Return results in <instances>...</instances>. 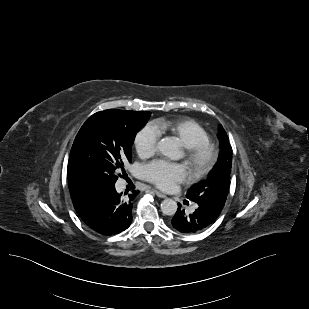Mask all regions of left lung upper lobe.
Masks as SVG:
<instances>
[{
    "label": "left lung upper lobe",
    "instance_id": "1",
    "mask_svg": "<svg viewBox=\"0 0 309 309\" xmlns=\"http://www.w3.org/2000/svg\"><path fill=\"white\" fill-rule=\"evenodd\" d=\"M220 154L219 159L208 174L207 180L194 184L186 197L196 203L212 205L223 209L230 185L232 167V147L223 127L219 126Z\"/></svg>",
    "mask_w": 309,
    "mask_h": 309
}]
</instances>
